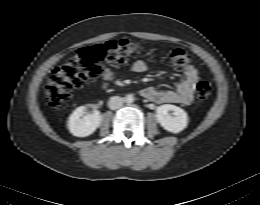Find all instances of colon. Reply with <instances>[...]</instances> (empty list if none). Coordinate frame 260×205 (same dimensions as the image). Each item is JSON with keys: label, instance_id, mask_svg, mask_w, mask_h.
<instances>
[{"label": "colon", "instance_id": "5ec220e1", "mask_svg": "<svg viewBox=\"0 0 260 205\" xmlns=\"http://www.w3.org/2000/svg\"><path fill=\"white\" fill-rule=\"evenodd\" d=\"M139 48L137 43L126 39L81 48L73 58L51 72L45 87L48 104L59 106L70 98L74 89L81 87L86 81L99 77L103 71V64L124 65ZM168 53L176 69H183L190 61V55L181 48H172ZM211 90L209 82L198 81L196 96L200 100H205L210 96Z\"/></svg>", "mask_w": 260, "mask_h": 205}]
</instances>
